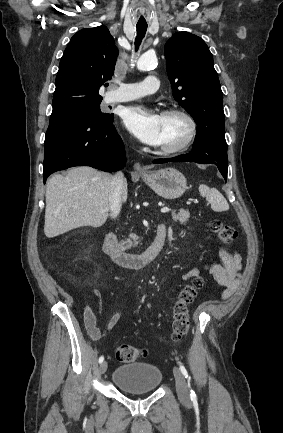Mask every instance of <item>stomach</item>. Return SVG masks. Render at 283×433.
<instances>
[{"label": "stomach", "instance_id": "obj_1", "mask_svg": "<svg viewBox=\"0 0 283 433\" xmlns=\"http://www.w3.org/2000/svg\"><path fill=\"white\" fill-rule=\"evenodd\" d=\"M141 176L163 198H179L187 188V180L176 168H160L141 172Z\"/></svg>", "mask_w": 283, "mask_h": 433}]
</instances>
